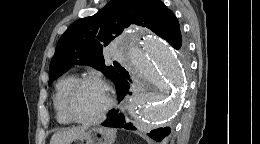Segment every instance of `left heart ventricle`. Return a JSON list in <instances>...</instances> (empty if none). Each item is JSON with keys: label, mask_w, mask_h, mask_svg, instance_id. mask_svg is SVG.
<instances>
[{"label": "left heart ventricle", "mask_w": 260, "mask_h": 144, "mask_svg": "<svg viewBox=\"0 0 260 144\" xmlns=\"http://www.w3.org/2000/svg\"><path fill=\"white\" fill-rule=\"evenodd\" d=\"M105 105V94L103 89L93 83L82 85L75 93L71 108L79 118L95 117Z\"/></svg>", "instance_id": "1"}]
</instances>
